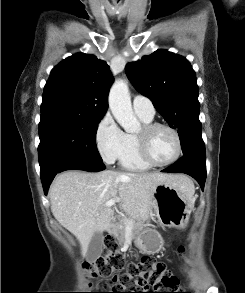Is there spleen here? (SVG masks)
<instances>
[{"label": "spleen", "instance_id": "1", "mask_svg": "<svg viewBox=\"0 0 245 293\" xmlns=\"http://www.w3.org/2000/svg\"><path fill=\"white\" fill-rule=\"evenodd\" d=\"M192 184V183H191ZM193 192H194V186H193V184H192V189H191Z\"/></svg>", "mask_w": 245, "mask_h": 293}]
</instances>
